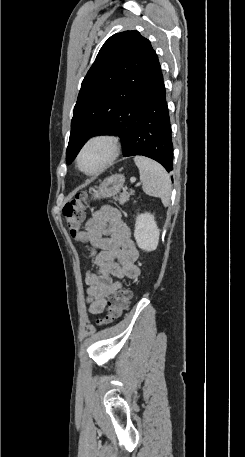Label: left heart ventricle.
Returning a JSON list of instances; mask_svg holds the SVG:
<instances>
[{"label": "left heart ventricle", "mask_w": 245, "mask_h": 457, "mask_svg": "<svg viewBox=\"0 0 245 457\" xmlns=\"http://www.w3.org/2000/svg\"><path fill=\"white\" fill-rule=\"evenodd\" d=\"M106 153L100 148L89 150L82 159V166L88 171L97 169L105 160Z\"/></svg>", "instance_id": "b2bd125f"}]
</instances>
